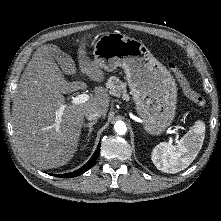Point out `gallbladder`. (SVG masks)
<instances>
[{
	"instance_id": "bac80fb5",
	"label": "gallbladder",
	"mask_w": 221,
	"mask_h": 221,
	"mask_svg": "<svg viewBox=\"0 0 221 221\" xmlns=\"http://www.w3.org/2000/svg\"><path fill=\"white\" fill-rule=\"evenodd\" d=\"M69 88H70L69 85L65 81L63 83L58 84V90L60 92H63V93L68 92Z\"/></svg>"
}]
</instances>
